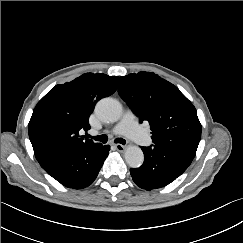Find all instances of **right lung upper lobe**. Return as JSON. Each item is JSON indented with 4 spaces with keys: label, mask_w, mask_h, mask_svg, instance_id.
I'll use <instances>...</instances> for the list:
<instances>
[{
    "label": "right lung upper lobe",
    "mask_w": 243,
    "mask_h": 243,
    "mask_svg": "<svg viewBox=\"0 0 243 243\" xmlns=\"http://www.w3.org/2000/svg\"><path fill=\"white\" fill-rule=\"evenodd\" d=\"M118 81L117 76L86 73L53 87L34 108L28 125L36 159L54 151L97 144L80 132L90 129L89 117L95 104L113 94Z\"/></svg>",
    "instance_id": "right-lung-upper-lobe-1"
}]
</instances>
